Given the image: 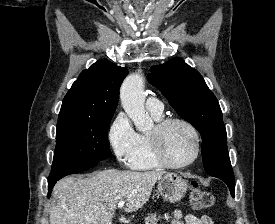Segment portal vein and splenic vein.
Returning a JSON list of instances; mask_svg holds the SVG:
<instances>
[{"mask_svg":"<svg viewBox=\"0 0 275 224\" xmlns=\"http://www.w3.org/2000/svg\"><path fill=\"white\" fill-rule=\"evenodd\" d=\"M124 204H125V201H120V202H118L117 207L118 208H123Z\"/></svg>","mask_w":275,"mask_h":224,"instance_id":"portal-vein-and-splenic-vein-1","label":"portal vein and splenic vein"}]
</instances>
